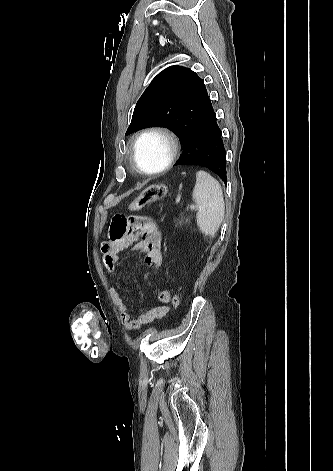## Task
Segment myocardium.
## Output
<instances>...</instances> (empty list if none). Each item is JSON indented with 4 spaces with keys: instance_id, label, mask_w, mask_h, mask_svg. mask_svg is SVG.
<instances>
[{
    "instance_id": "1",
    "label": "myocardium",
    "mask_w": 333,
    "mask_h": 471,
    "mask_svg": "<svg viewBox=\"0 0 333 471\" xmlns=\"http://www.w3.org/2000/svg\"><path fill=\"white\" fill-rule=\"evenodd\" d=\"M159 135L164 138L168 144L169 152L164 164L155 170H146L140 166L136 158V150L138 143L146 136ZM179 150V142L175 134L169 129L162 126H150L140 131L132 140L130 147V160L133 167L140 173L145 175H157L166 171L174 162Z\"/></svg>"
}]
</instances>
